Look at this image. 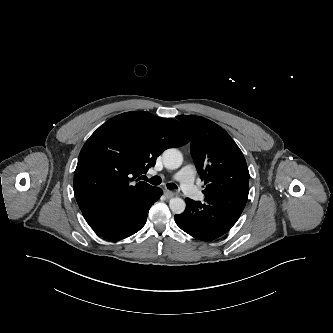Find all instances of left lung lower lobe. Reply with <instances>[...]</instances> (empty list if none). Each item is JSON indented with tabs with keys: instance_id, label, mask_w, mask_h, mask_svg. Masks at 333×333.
I'll return each instance as SVG.
<instances>
[{
	"instance_id": "obj_1",
	"label": "left lung lower lobe",
	"mask_w": 333,
	"mask_h": 333,
	"mask_svg": "<svg viewBox=\"0 0 333 333\" xmlns=\"http://www.w3.org/2000/svg\"><path fill=\"white\" fill-rule=\"evenodd\" d=\"M249 180L227 183L204 194V203L186 198V209L175 215L177 225L200 240L225 234L240 217L248 198Z\"/></svg>"
}]
</instances>
